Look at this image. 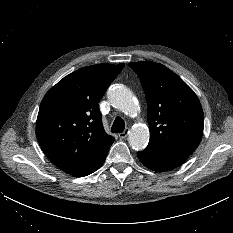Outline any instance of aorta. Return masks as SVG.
I'll return each mask as SVG.
<instances>
[{"label": "aorta", "mask_w": 233, "mask_h": 233, "mask_svg": "<svg viewBox=\"0 0 233 233\" xmlns=\"http://www.w3.org/2000/svg\"><path fill=\"white\" fill-rule=\"evenodd\" d=\"M109 101L126 115L137 113L138 106L133 93L122 86H112L107 92ZM129 145L137 151L143 150L149 142V130L145 125H135L128 136Z\"/></svg>", "instance_id": "aorta-1"}]
</instances>
